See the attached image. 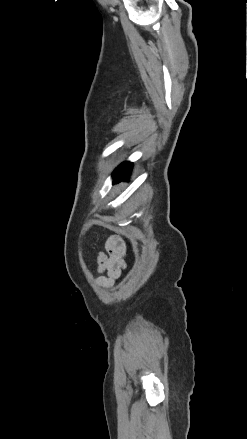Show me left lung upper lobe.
<instances>
[{
	"label": "left lung upper lobe",
	"mask_w": 247,
	"mask_h": 439,
	"mask_svg": "<svg viewBox=\"0 0 247 439\" xmlns=\"http://www.w3.org/2000/svg\"><path fill=\"white\" fill-rule=\"evenodd\" d=\"M126 164H127V163H123V164H121L116 170H122V169H124L125 166H126Z\"/></svg>",
	"instance_id": "obj_1"
}]
</instances>
